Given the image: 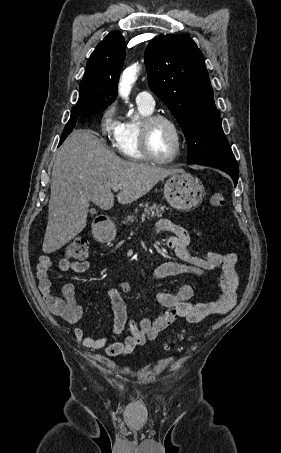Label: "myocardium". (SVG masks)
<instances>
[{"instance_id": "obj_1", "label": "myocardium", "mask_w": 281, "mask_h": 453, "mask_svg": "<svg viewBox=\"0 0 281 453\" xmlns=\"http://www.w3.org/2000/svg\"><path fill=\"white\" fill-rule=\"evenodd\" d=\"M159 123H165L172 130L175 137L172 154L167 158H159L154 153L152 147V134L155 127ZM181 141H182L181 131L177 124L171 118L163 115H152L143 120L141 128V148L143 154L150 160L160 164H167L174 161L180 151Z\"/></svg>"}]
</instances>
